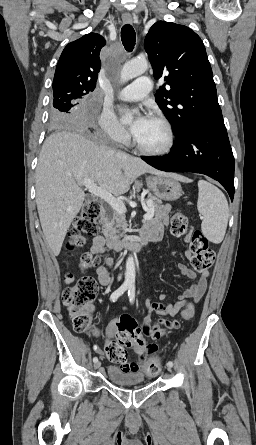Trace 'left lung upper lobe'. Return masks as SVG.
Wrapping results in <instances>:
<instances>
[{"label":"left lung upper lobe","instance_id":"left-lung-upper-lobe-1","mask_svg":"<svg viewBox=\"0 0 256 445\" xmlns=\"http://www.w3.org/2000/svg\"><path fill=\"white\" fill-rule=\"evenodd\" d=\"M144 47L154 77L166 81L155 101L176 137L194 123H224L206 50L194 31L158 21L146 35Z\"/></svg>","mask_w":256,"mask_h":445}]
</instances>
